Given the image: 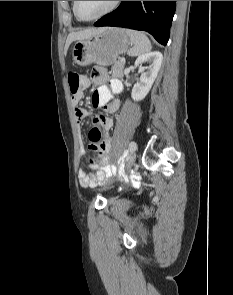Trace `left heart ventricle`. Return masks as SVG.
I'll return each instance as SVG.
<instances>
[{
    "label": "left heart ventricle",
    "mask_w": 233,
    "mask_h": 295,
    "mask_svg": "<svg viewBox=\"0 0 233 295\" xmlns=\"http://www.w3.org/2000/svg\"><path fill=\"white\" fill-rule=\"evenodd\" d=\"M113 1H78V12L83 18H92L105 11Z\"/></svg>",
    "instance_id": "left-heart-ventricle-1"
}]
</instances>
